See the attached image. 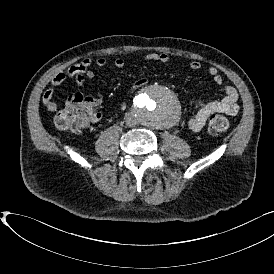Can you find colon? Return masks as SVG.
<instances>
[{
    "instance_id": "obj_1",
    "label": "colon",
    "mask_w": 274,
    "mask_h": 274,
    "mask_svg": "<svg viewBox=\"0 0 274 274\" xmlns=\"http://www.w3.org/2000/svg\"><path fill=\"white\" fill-rule=\"evenodd\" d=\"M69 100L70 103L54 119L57 128L71 130L74 125H85L94 120L93 110L83 97L75 96ZM228 128L229 120L223 115H214L209 120L208 130L213 135H222L227 132Z\"/></svg>"
}]
</instances>
